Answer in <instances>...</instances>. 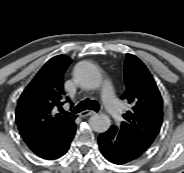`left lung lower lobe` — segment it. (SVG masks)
Returning <instances> with one entry per match:
<instances>
[{"instance_id": "left-lung-lower-lobe-1", "label": "left lung lower lobe", "mask_w": 184, "mask_h": 173, "mask_svg": "<svg viewBox=\"0 0 184 173\" xmlns=\"http://www.w3.org/2000/svg\"><path fill=\"white\" fill-rule=\"evenodd\" d=\"M98 144L102 155L108 161L118 165L129 163L145 152L116 126L101 133Z\"/></svg>"}]
</instances>
